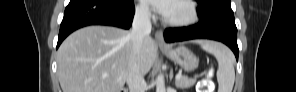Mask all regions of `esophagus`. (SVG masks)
Segmentation results:
<instances>
[{
    "label": "esophagus",
    "instance_id": "34e87169",
    "mask_svg": "<svg viewBox=\"0 0 296 92\" xmlns=\"http://www.w3.org/2000/svg\"><path fill=\"white\" fill-rule=\"evenodd\" d=\"M155 41L161 47H166L167 44L164 41L163 32L161 30H157L155 32Z\"/></svg>",
    "mask_w": 296,
    "mask_h": 92
}]
</instances>
